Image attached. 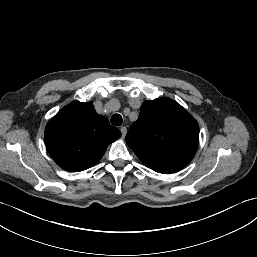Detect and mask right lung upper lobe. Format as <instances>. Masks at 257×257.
I'll list each match as a JSON object with an SVG mask.
<instances>
[{
  "instance_id": "right-lung-upper-lobe-1",
  "label": "right lung upper lobe",
  "mask_w": 257,
  "mask_h": 257,
  "mask_svg": "<svg viewBox=\"0 0 257 257\" xmlns=\"http://www.w3.org/2000/svg\"><path fill=\"white\" fill-rule=\"evenodd\" d=\"M121 136L118 128L97 114L92 102L74 101L46 125L45 143L53 160L71 172L96 164L108 145Z\"/></svg>"
}]
</instances>
